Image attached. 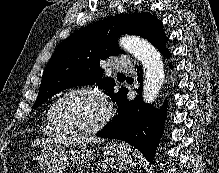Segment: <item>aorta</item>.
Segmentation results:
<instances>
[{
    "label": "aorta",
    "mask_w": 219,
    "mask_h": 173,
    "mask_svg": "<svg viewBox=\"0 0 219 173\" xmlns=\"http://www.w3.org/2000/svg\"><path fill=\"white\" fill-rule=\"evenodd\" d=\"M119 46L141 62L145 72L142 97L144 102L152 103L157 98L165 78L161 54L148 41L136 36L122 37Z\"/></svg>",
    "instance_id": "1"
}]
</instances>
